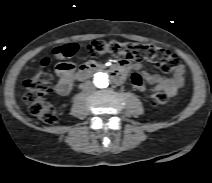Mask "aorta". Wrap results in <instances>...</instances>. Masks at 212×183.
<instances>
[{
  "mask_svg": "<svg viewBox=\"0 0 212 183\" xmlns=\"http://www.w3.org/2000/svg\"><path fill=\"white\" fill-rule=\"evenodd\" d=\"M92 84L95 88L103 90L109 85V75L105 71H98L93 75Z\"/></svg>",
  "mask_w": 212,
  "mask_h": 183,
  "instance_id": "1",
  "label": "aorta"
}]
</instances>
